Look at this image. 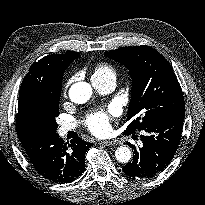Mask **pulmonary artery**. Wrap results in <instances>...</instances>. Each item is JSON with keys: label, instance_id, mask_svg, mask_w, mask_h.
<instances>
[{"label": "pulmonary artery", "instance_id": "pulmonary-artery-1", "mask_svg": "<svg viewBox=\"0 0 205 205\" xmlns=\"http://www.w3.org/2000/svg\"><path fill=\"white\" fill-rule=\"evenodd\" d=\"M93 86L100 92V93H109L114 90L116 85V77L109 76L106 78L101 79H93L92 80ZM75 128L74 124L71 123H64L61 124L59 131L60 134H66L68 131H71Z\"/></svg>", "mask_w": 205, "mask_h": 205}]
</instances>
